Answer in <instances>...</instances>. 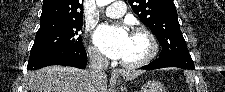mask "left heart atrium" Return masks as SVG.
I'll return each mask as SVG.
<instances>
[{
  "label": "left heart atrium",
  "mask_w": 225,
  "mask_h": 92,
  "mask_svg": "<svg viewBox=\"0 0 225 92\" xmlns=\"http://www.w3.org/2000/svg\"><path fill=\"white\" fill-rule=\"evenodd\" d=\"M129 33L122 26H100L95 34V43L104 55L111 59H122L128 45Z\"/></svg>",
  "instance_id": "1"
}]
</instances>
